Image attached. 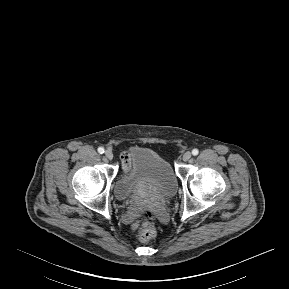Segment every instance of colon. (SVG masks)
Returning a JSON list of instances; mask_svg holds the SVG:
<instances>
[{"label":"colon","instance_id":"colon-1","mask_svg":"<svg viewBox=\"0 0 289 289\" xmlns=\"http://www.w3.org/2000/svg\"><path fill=\"white\" fill-rule=\"evenodd\" d=\"M154 221V214L149 209L139 214L136 225L141 241L148 242L155 237Z\"/></svg>","mask_w":289,"mask_h":289}]
</instances>
